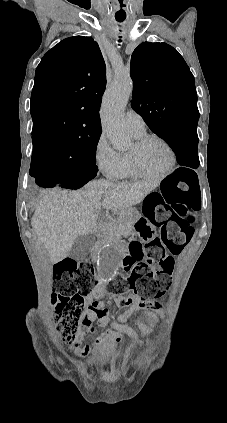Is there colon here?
<instances>
[{
    "label": "colon",
    "mask_w": 227,
    "mask_h": 423,
    "mask_svg": "<svg viewBox=\"0 0 227 423\" xmlns=\"http://www.w3.org/2000/svg\"><path fill=\"white\" fill-rule=\"evenodd\" d=\"M202 206L201 193L194 173L177 170L162 181L158 191L145 203V222L138 224L141 238L152 237V227L160 229L162 238L143 246L138 240L128 243L123 256L124 272L111 282L102 283L106 292L125 296L128 292L143 301L163 296L169 289L175 261L193 235V223ZM52 303L57 315V330L72 343L85 309L84 298L100 283L93 265L84 260L63 259L54 272Z\"/></svg>",
    "instance_id": "1"
}]
</instances>
